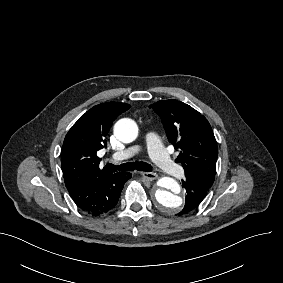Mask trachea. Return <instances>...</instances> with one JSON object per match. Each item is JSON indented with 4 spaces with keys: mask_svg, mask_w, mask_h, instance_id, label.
<instances>
[{
    "mask_svg": "<svg viewBox=\"0 0 283 283\" xmlns=\"http://www.w3.org/2000/svg\"><path fill=\"white\" fill-rule=\"evenodd\" d=\"M107 167L109 169H112V170L116 169L119 171L139 170V171H144V172H150L152 170L151 165L143 161L127 162V163H124L118 166L108 163Z\"/></svg>",
    "mask_w": 283,
    "mask_h": 283,
    "instance_id": "obj_1",
    "label": "trachea"
}]
</instances>
